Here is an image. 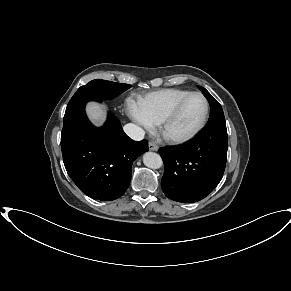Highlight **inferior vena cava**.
Here are the masks:
<instances>
[{
  "label": "inferior vena cava",
  "mask_w": 291,
  "mask_h": 291,
  "mask_svg": "<svg viewBox=\"0 0 291 291\" xmlns=\"http://www.w3.org/2000/svg\"><path fill=\"white\" fill-rule=\"evenodd\" d=\"M123 129L124 132L135 141H140L144 138V130L135 124H126Z\"/></svg>",
  "instance_id": "inferior-vena-cava-1"
}]
</instances>
